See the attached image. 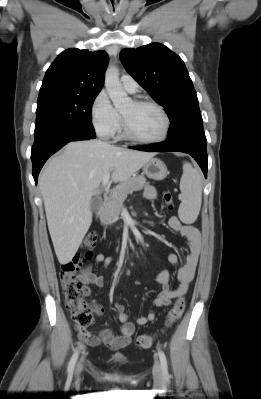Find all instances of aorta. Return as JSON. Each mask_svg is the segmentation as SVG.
Returning <instances> with one entry per match:
<instances>
[{"mask_svg": "<svg viewBox=\"0 0 261 399\" xmlns=\"http://www.w3.org/2000/svg\"><path fill=\"white\" fill-rule=\"evenodd\" d=\"M105 87L116 109H122L131 103L119 80L117 67H108L105 72Z\"/></svg>", "mask_w": 261, "mask_h": 399, "instance_id": "762f6f07", "label": "aorta"}]
</instances>
